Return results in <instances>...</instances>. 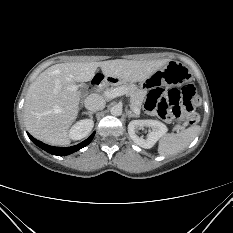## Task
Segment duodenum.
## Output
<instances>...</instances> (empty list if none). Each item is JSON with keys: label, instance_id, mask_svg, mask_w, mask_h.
<instances>
[{"label": "duodenum", "instance_id": "duodenum-1", "mask_svg": "<svg viewBox=\"0 0 233 233\" xmlns=\"http://www.w3.org/2000/svg\"><path fill=\"white\" fill-rule=\"evenodd\" d=\"M104 71L103 70H98L95 72V76L92 79V83L95 85H104V84H108V83H114L116 82V78L113 76H109V75H104Z\"/></svg>", "mask_w": 233, "mask_h": 233}]
</instances>
